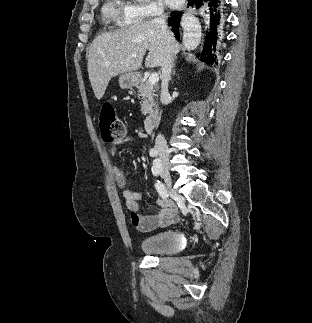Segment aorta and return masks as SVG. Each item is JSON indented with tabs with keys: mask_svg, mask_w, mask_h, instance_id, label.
I'll list each match as a JSON object with an SVG mask.
<instances>
[{
	"mask_svg": "<svg viewBox=\"0 0 312 323\" xmlns=\"http://www.w3.org/2000/svg\"><path fill=\"white\" fill-rule=\"evenodd\" d=\"M200 40V32H193V30H185L183 34V44L186 50H195V48L199 46Z\"/></svg>",
	"mask_w": 312,
	"mask_h": 323,
	"instance_id": "obj_1",
	"label": "aorta"
}]
</instances>
